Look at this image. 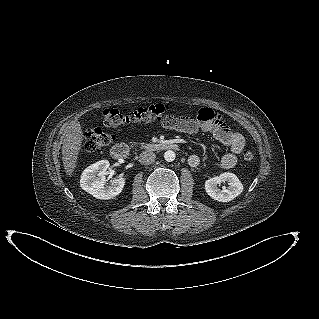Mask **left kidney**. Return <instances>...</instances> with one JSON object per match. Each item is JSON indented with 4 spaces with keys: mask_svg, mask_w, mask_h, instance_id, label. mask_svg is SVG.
<instances>
[{
    "mask_svg": "<svg viewBox=\"0 0 319 319\" xmlns=\"http://www.w3.org/2000/svg\"><path fill=\"white\" fill-rule=\"evenodd\" d=\"M221 182H227L228 186H223L222 190L219 189L217 185ZM205 190L212 199L219 202H229L243 192V184L235 174L225 172L206 180Z\"/></svg>",
    "mask_w": 319,
    "mask_h": 319,
    "instance_id": "left-kidney-1",
    "label": "left kidney"
}]
</instances>
